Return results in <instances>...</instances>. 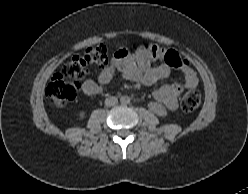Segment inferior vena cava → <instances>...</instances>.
Segmentation results:
<instances>
[{"instance_id":"1","label":"inferior vena cava","mask_w":248,"mask_h":194,"mask_svg":"<svg viewBox=\"0 0 248 194\" xmlns=\"http://www.w3.org/2000/svg\"><path fill=\"white\" fill-rule=\"evenodd\" d=\"M117 103H118V99L114 96H110L105 99V105L107 107L115 106Z\"/></svg>"}]
</instances>
